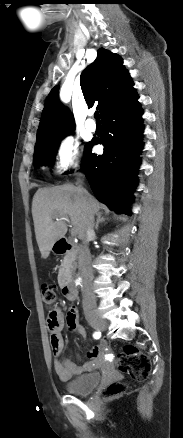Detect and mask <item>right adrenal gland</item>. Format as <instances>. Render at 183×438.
I'll return each mask as SVG.
<instances>
[{
	"label": "right adrenal gland",
	"mask_w": 183,
	"mask_h": 438,
	"mask_svg": "<svg viewBox=\"0 0 183 438\" xmlns=\"http://www.w3.org/2000/svg\"><path fill=\"white\" fill-rule=\"evenodd\" d=\"M96 215H97V221H96L95 229L98 230L99 223L105 222L106 218L102 216L103 215L102 212H98Z\"/></svg>",
	"instance_id": "right-adrenal-gland-1"
}]
</instances>
